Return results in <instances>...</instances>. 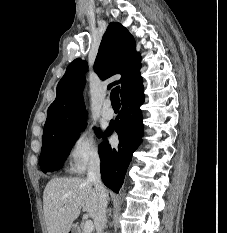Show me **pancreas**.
Instances as JSON below:
<instances>
[{
	"instance_id": "obj_1",
	"label": "pancreas",
	"mask_w": 227,
	"mask_h": 233,
	"mask_svg": "<svg viewBox=\"0 0 227 233\" xmlns=\"http://www.w3.org/2000/svg\"><path fill=\"white\" fill-rule=\"evenodd\" d=\"M78 233H84L83 231L81 232V231H79Z\"/></svg>"
}]
</instances>
